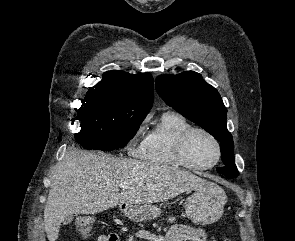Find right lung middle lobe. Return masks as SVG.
I'll list each match as a JSON object with an SVG mask.
<instances>
[{"label": "right lung middle lobe", "instance_id": "right-lung-middle-lobe-1", "mask_svg": "<svg viewBox=\"0 0 295 241\" xmlns=\"http://www.w3.org/2000/svg\"><path fill=\"white\" fill-rule=\"evenodd\" d=\"M80 131L74 135L86 149L111 151L127 144L148 111L102 93L87 94L77 111Z\"/></svg>", "mask_w": 295, "mask_h": 241}]
</instances>
